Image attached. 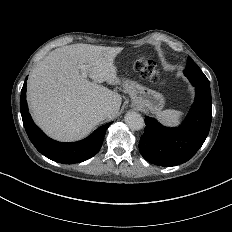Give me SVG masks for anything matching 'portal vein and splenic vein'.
Segmentation results:
<instances>
[{
	"label": "portal vein and splenic vein",
	"instance_id": "obj_1",
	"mask_svg": "<svg viewBox=\"0 0 232 232\" xmlns=\"http://www.w3.org/2000/svg\"><path fill=\"white\" fill-rule=\"evenodd\" d=\"M79 67H80V70H81V75L84 77V78H87L89 73H88V64H85V63H79Z\"/></svg>",
	"mask_w": 232,
	"mask_h": 232
}]
</instances>
